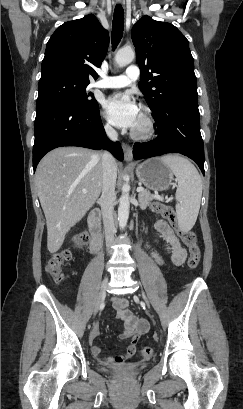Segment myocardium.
Listing matches in <instances>:
<instances>
[{
    "label": "myocardium",
    "instance_id": "1",
    "mask_svg": "<svg viewBox=\"0 0 243 409\" xmlns=\"http://www.w3.org/2000/svg\"><path fill=\"white\" fill-rule=\"evenodd\" d=\"M140 110L143 115L144 128L142 130H131V137L136 140H149L154 137L157 131L156 122L151 110L146 105H141Z\"/></svg>",
    "mask_w": 243,
    "mask_h": 409
}]
</instances>
